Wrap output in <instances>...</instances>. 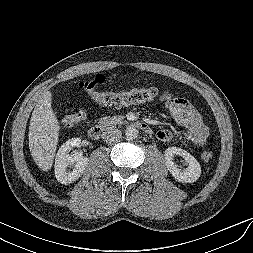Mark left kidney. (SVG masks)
<instances>
[{
    "mask_svg": "<svg viewBox=\"0 0 253 253\" xmlns=\"http://www.w3.org/2000/svg\"><path fill=\"white\" fill-rule=\"evenodd\" d=\"M179 155L184 158L187 168L181 169L174 163L173 158ZM165 164L172 176L182 183H193L199 179L201 175V167L199 162L188 153L178 147H169L165 150Z\"/></svg>",
    "mask_w": 253,
    "mask_h": 253,
    "instance_id": "5707ae66",
    "label": "left kidney"
}]
</instances>
